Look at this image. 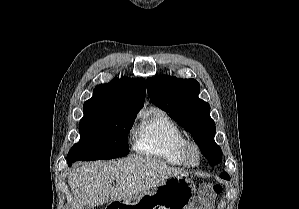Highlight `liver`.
<instances>
[{
    "label": "liver",
    "mask_w": 299,
    "mask_h": 209,
    "mask_svg": "<svg viewBox=\"0 0 299 209\" xmlns=\"http://www.w3.org/2000/svg\"><path fill=\"white\" fill-rule=\"evenodd\" d=\"M188 173L155 158L129 156L114 162L88 163L70 172L68 184L74 195L71 209L107 202L132 200L174 176ZM116 180V187L112 182Z\"/></svg>",
    "instance_id": "obj_1"
}]
</instances>
